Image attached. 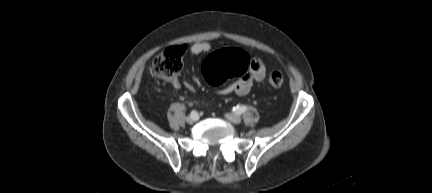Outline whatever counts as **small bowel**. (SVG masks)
<instances>
[{
    "label": "small bowel",
    "instance_id": "small-bowel-1",
    "mask_svg": "<svg viewBox=\"0 0 432 193\" xmlns=\"http://www.w3.org/2000/svg\"><path fill=\"white\" fill-rule=\"evenodd\" d=\"M211 50L209 42H197L190 47V52L194 55L204 54ZM251 68L236 81L219 89L220 94L235 93L240 96L248 94L253 86V83L263 81L266 76V67L264 62L257 57H252ZM174 87L179 88L180 83L175 81ZM187 87L193 88L192 84L186 83Z\"/></svg>",
    "mask_w": 432,
    "mask_h": 193
}]
</instances>
